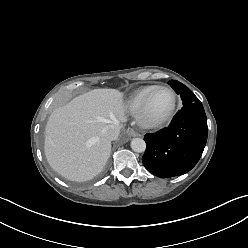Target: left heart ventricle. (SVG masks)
I'll use <instances>...</instances> for the list:
<instances>
[{
  "label": "left heart ventricle",
  "instance_id": "left-heart-ventricle-1",
  "mask_svg": "<svg viewBox=\"0 0 248 248\" xmlns=\"http://www.w3.org/2000/svg\"><path fill=\"white\" fill-rule=\"evenodd\" d=\"M172 97L169 92L165 90H156L152 93L147 113L150 117L156 118L163 115L171 106Z\"/></svg>",
  "mask_w": 248,
  "mask_h": 248
}]
</instances>
